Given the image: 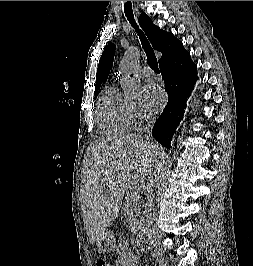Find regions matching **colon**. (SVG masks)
Instances as JSON below:
<instances>
[{
  "mask_svg": "<svg viewBox=\"0 0 253 266\" xmlns=\"http://www.w3.org/2000/svg\"><path fill=\"white\" fill-rule=\"evenodd\" d=\"M96 266H109V265H108V263L105 260L99 259L96 262Z\"/></svg>",
  "mask_w": 253,
  "mask_h": 266,
  "instance_id": "1",
  "label": "colon"
}]
</instances>
